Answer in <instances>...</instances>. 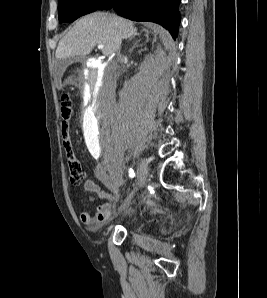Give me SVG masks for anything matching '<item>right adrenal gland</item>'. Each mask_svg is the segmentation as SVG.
<instances>
[{
  "instance_id": "obj_1",
  "label": "right adrenal gland",
  "mask_w": 267,
  "mask_h": 298,
  "mask_svg": "<svg viewBox=\"0 0 267 298\" xmlns=\"http://www.w3.org/2000/svg\"><path fill=\"white\" fill-rule=\"evenodd\" d=\"M135 36H139V33H137V30L135 29V33L133 34V36H131L128 40L133 39Z\"/></svg>"
}]
</instances>
